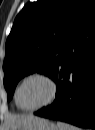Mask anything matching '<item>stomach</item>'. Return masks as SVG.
I'll list each match as a JSON object with an SVG mask.
<instances>
[{
  "mask_svg": "<svg viewBox=\"0 0 95 130\" xmlns=\"http://www.w3.org/2000/svg\"><path fill=\"white\" fill-rule=\"evenodd\" d=\"M18 130H58L57 126L44 118L34 117Z\"/></svg>",
  "mask_w": 95,
  "mask_h": 130,
  "instance_id": "0dacf381",
  "label": "stomach"
}]
</instances>
